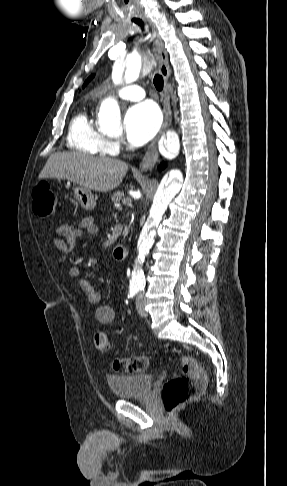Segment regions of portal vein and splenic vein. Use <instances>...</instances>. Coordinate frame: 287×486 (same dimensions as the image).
I'll use <instances>...</instances> for the list:
<instances>
[{"instance_id": "18ae733b", "label": "portal vein and splenic vein", "mask_w": 287, "mask_h": 486, "mask_svg": "<svg viewBox=\"0 0 287 486\" xmlns=\"http://www.w3.org/2000/svg\"><path fill=\"white\" fill-rule=\"evenodd\" d=\"M130 200H123V204H129Z\"/></svg>"}]
</instances>
